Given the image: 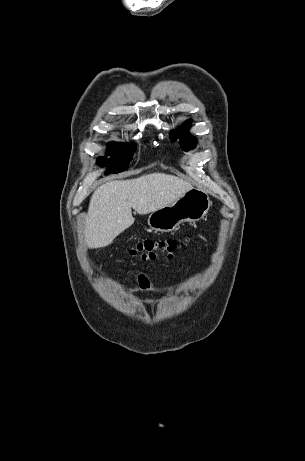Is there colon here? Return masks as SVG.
Segmentation results:
<instances>
[{
  "label": "colon",
  "instance_id": "colon-1",
  "mask_svg": "<svg viewBox=\"0 0 305 461\" xmlns=\"http://www.w3.org/2000/svg\"><path fill=\"white\" fill-rule=\"evenodd\" d=\"M183 244L184 240L178 239L145 240L134 246L130 254L143 261L155 260L172 256Z\"/></svg>",
  "mask_w": 305,
  "mask_h": 461
}]
</instances>
